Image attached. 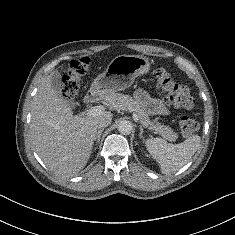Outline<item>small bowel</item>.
I'll return each mask as SVG.
<instances>
[{"label": "small bowel", "mask_w": 235, "mask_h": 235, "mask_svg": "<svg viewBox=\"0 0 235 235\" xmlns=\"http://www.w3.org/2000/svg\"><path fill=\"white\" fill-rule=\"evenodd\" d=\"M135 98L140 105L150 114L154 115H167L168 108L159 99L152 98L145 90L138 89L135 92Z\"/></svg>", "instance_id": "c3829d8e"}]
</instances>
